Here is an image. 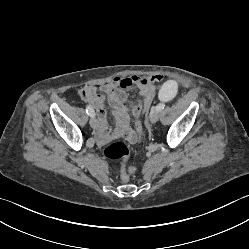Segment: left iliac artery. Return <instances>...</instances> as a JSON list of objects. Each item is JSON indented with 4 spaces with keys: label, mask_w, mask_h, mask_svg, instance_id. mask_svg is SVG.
<instances>
[{
    "label": "left iliac artery",
    "mask_w": 249,
    "mask_h": 249,
    "mask_svg": "<svg viewBox=\"0 0 249 249\" xmlns=\"http://www.w3.org/2000/svg\"><path fill=\"white\" fill-rule=\"evenodd\" d=\"M164 107H165V105H164L163 103H160V104H158V105L156 106V109H157L158 111H161L162 109H164Z\"/></svg>",
    "instance_id": "left-iliac-artery-1"
}]
</instances>
